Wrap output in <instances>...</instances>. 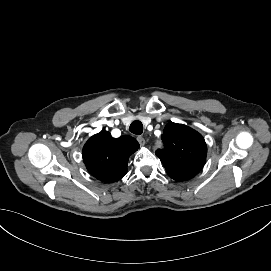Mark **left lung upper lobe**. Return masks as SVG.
<instances>
[{
    "label": "left lung upper lobe",
    "instance_id": "1",
    "mask_svg": "<svg viewBox=\"0 0 271 271\" xmlns=\"http://www.w3.org/2000/svg\"><path fill=\"white\" fill-rule=\"evenodd\" d=\"M161 138L164 148L155 154L172 179L178 182L189 180L201 171L207 155L201 134L186 125L169 122Z\"/></svg>",
    "mask_w": 271,
    "mask_h": 271
}]
</instances>
